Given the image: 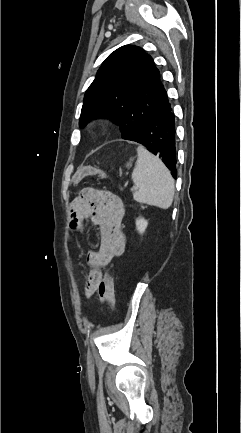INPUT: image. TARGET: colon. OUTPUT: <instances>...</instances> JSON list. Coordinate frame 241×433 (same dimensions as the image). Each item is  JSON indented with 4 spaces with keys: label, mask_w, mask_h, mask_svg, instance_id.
<instances>
[{
    "label": "colon",
    "mask_w": 241,
    "mask_h": 433,
    "mask_svg": "<svg viewBox=\"0 0 241 433\" xmlns=\"http://www.w3.org/2000/svg\"><path fill=\"white\" fill-rule=\"evenodd\" d=\"M95 173H100V171ZM93 176V168H78L73 174V179L80 181L83 177ZM70 236H75V231H70ZM88 286L99 292L106 312L111 313L114 307V275L111 272L104 276L94 273L89 279Z\"/></svg>",
    "instance_id": "1"
}]
</instances>
